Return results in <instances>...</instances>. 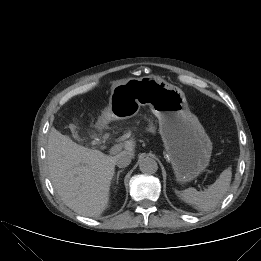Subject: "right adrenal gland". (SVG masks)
<instances>
[{
    "instance_id": "obj_1",
    "label": "right adrenal gland",
    "mask_w": 261,
    "mask_h": 261,
    "mask_svg": "<svg viewBox=\"0 0 261 261\" xmlns=\"http://www.w3.org/2000/svg\"><path fill=\"white\" fill-rule=\"evenodd\" d=\"M123 172V170H119L116 174V183L118 184L120 173Z\"/></svg>"
}]
</instances>
